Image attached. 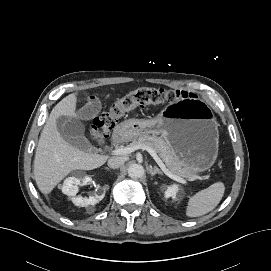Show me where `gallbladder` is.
Returning a JSON list of instances; mask_svg holds the SVG:
<instances>
[{"label": "gallbladder", "instance_id": "obj_1", "mask_svg": "<svg viewBox=\"0 0 271 271\" xmlns=\"http://www.w3.org/2000/svg\"><path fill=\"white\" fill-rule=\"evenodd\" d=\"M57 128L62 138L70 145L82 150L92 151L94 147L84 136V124L74 118L60 117L57 120Z\"/></svg>", "mask_w": 271, "mask_h": 271}]
</instances>
